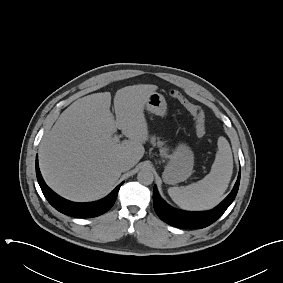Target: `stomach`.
<instances>
[{
	"label": "stomach",
	"mask_w": 283,
	"mask_h": 283,
	"mask_svg": "<svg viewBox=\"0 0 283 283\" xmlns=\"http://www.w3.org/2000/svg\"><path fill=\"white\" fill-rule=\"evenodd\" d=\"M147 111L164 117L167 113V103L162 94L153 92L145 104ZM169 161L163 172L166 184H177L188 179L194 166L193 151L184 143H180L168 157Z\"/></svg>",
	"instance_id": "0dacf381"
}]
</instances>
